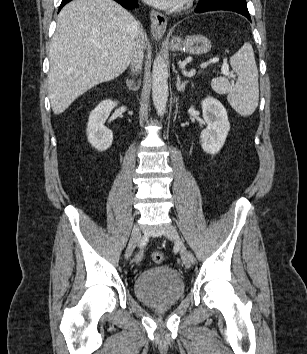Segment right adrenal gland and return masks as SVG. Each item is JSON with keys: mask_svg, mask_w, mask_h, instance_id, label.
Masks as SVG:
<instances>
[{"mask_svg": "<svg viewBox=\"0 0 307 354\" xmlns=\"http://www.w3.org/2000/svg\"><path fill=\"white\" fill-rule=\"evenodd\" d=\"M126 84H127L128 88H129V90H136L139 87V85L138 86H133L134 81H132L131 79H128V78L126 79Z\"/></svg>", "mask_w": 307, "mask_h": 354, "instance_id": "right-adrenal-gland-1", "label": "right adrenal gland"}]
</instances>
